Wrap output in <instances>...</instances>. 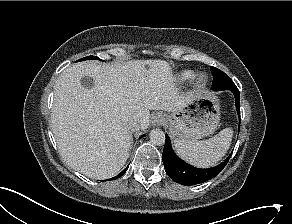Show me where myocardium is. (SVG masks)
Instances as JSON below:
<instances>
[{
	"label": "myocardium",
	"mask_w": 292,
	"mask_h": 224,
	"mask_svg": "<svg viewBox=\"0 0 292 224\" xmlns=\"http://www.w3.org/2000/svg\"><path fill=\"white\" fill-rule=\"evenodd\" d=\"M207 81V76L204 74H200L195 80V86L197 88H202L206 85Z\"/></svg>",
	"instance_id": "myocardium-1"
}]
</instances>
